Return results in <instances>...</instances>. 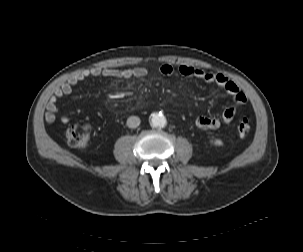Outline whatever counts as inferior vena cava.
I'll list each match as a JSON object with an SVG mask.
<instances>
[{"label":"inferior vena cava","mask_w":303,"mask_h":252,"mask_svg":"<svg viewBox=\"0 0 303 252\" xmlns=\"http://www.w3.org/2000/svg\"><path fill=\"white\" fill-rule=\"evenodd\" d=\"M140 125V118L137 116H130L127 119V126L129 128H136Z\"/></svg>","instance_id":"obj_1"}]
</instances>
